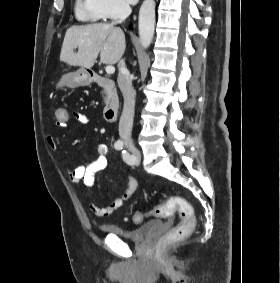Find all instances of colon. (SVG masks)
<instances>
[{
    "label": "colon",
    "mask_w": 280,
    "mask_h": 283,
    "mask_svg": "<svg viewBox=\"0 0 280 283\" xmlns=\"http://www.w3.org/2000/svg\"><path fill=\"white\" fill-rule=\"evenodd\" d=\"M64 105L55 107L54 118L55 122H68L73 115ZM174 211H178L180 222L177 227L166 234L168 239H182L187 237L194 230L196 225V217L192 205L181 197H171L165 204L154 207L148 212L136 211L131 214L130 219L133 223H140L147 216L160 218L170 217Z\"/></svg>",
    "instance_id": "5ec220e1"
}]
</instances>
